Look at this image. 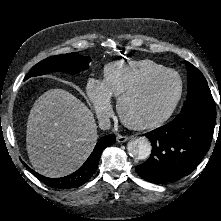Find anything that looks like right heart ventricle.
Returning <instances> with one entry per match:
<instances>
[{
	"mask_svg": "<svg viewBox=\"0 0 221 221\" xmlns=\"http://www.w3.org/2000/svg\"><path fill=\"white\" fill-rule=\"evenodd\" d=\"M166 69L152 60L118 61L105 66L103 83L111 96L119 98L149 75Z\"/></svg>",
	"mask_w": 221,
	"mask_h": 221,
	"instance_id": "e07e8e85",
	"label": "right heart ventricle"
}]
</instances>
